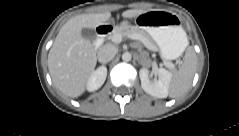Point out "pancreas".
I'll use <instances>...</instances> for the list:
<instances>
[{"mask_svg": "<svg viewBox=\"0 0 239 136\" xmlns=\"http://www.w3.org/2000/svg\"><path fill=\"white\" fill-rule=\"evenodd\" d=\"M116 34H120L122 37H125V36L128 37V35H131V34L140 36L147 41V43L149 44L152 50H157L156 45L152 42L150 37L144 31L140 30L136 26H129L127 24H121L119 26H115L112 31V34L108 38L112 39V37Z\"/></svg>", "mask_w": 239, "mask_h": 136, "instance_id": "obj_1", "label": "pancreas"}]
</instances>
